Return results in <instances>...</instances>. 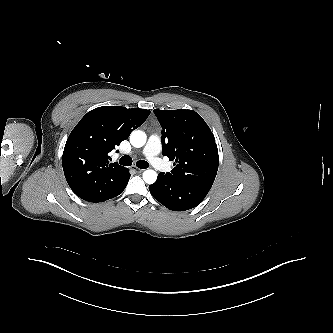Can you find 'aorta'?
Returning a JSON list of instances; mask_svg holds the SVG:
<instances>
[{
    "instance_id": "1",
    "label": "aorta",
    "mask_w": 333,
    "mask_h": 333,
    "mask_svg": "<svg viewBox=\"0 0 333 333\" xmlns=\"http://www.w3.org/2000/svg\"><path fill=\"white\" fill-rule=\"evenodd\" d=\"M147 136L141 130H134L130 135V143L133 147L140 148L146 143ZM157 179V173L152 170L143 172V180L148 184H153Z\"/></svg>"
}]
</instances>
